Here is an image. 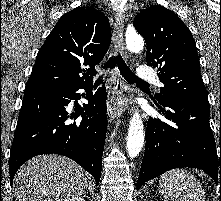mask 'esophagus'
I'll list each match as a JSON object with an SVG mask.
<instances>
[{
    "label": "esophagus",
    "mask_w": 221,
    "mask_h": 201,
    "mask_svg": "<svg viewBox=\"0 0 221 201\" xmlns=\"http://www.w3.org/2000/svg\"><path fill=\"white\" fill-rule=\"evenodd\" d=\"M124 23H125V14L123 12H117L115 14V23H114V45L116 50L127 59V51L124 45ZM128 86L121 77L118 69H115L113 72V88L110 94V98L107 102V113L111 119L119 118L122 116L124 109L117 105L119 99L124 98Z\"/></svg>",
    "instance_id": "obj_1"
}]
</instances>
